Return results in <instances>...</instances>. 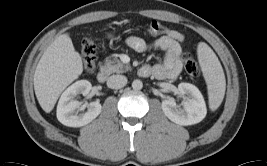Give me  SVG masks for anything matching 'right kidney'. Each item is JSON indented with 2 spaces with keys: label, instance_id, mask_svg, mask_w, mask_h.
<instances>
[{
  "label": "right kidney",
  "instance_id": "obj_1",
  "mask_svg": "<svg viewBox=\"0 0 267 166\" xmlns=\"http://www.w3.org/2000/svg\"><path fill=\"white\" fill-rule=\"evenodd\" d=\"M92 85L87 80H79L69 86L61 95L57 105V119L69 127H81L93 121L100 113L102 106L99 102L83 104L74 98L78 94L88 95ZM85 113L78 114L79 110Z\"/></svg>",
  "mask_w": 267,
  "mask_h": 166
}]
</instances>
